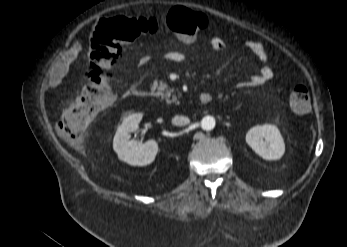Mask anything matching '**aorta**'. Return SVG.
<instances>
[{
  "label": "aorta",
  "mask_w": 347,
  "mask_h": 247,
  "mask_svg": "<svg viewBox=\"0 0 347 247\" xmlns=\"http://www.w3.org/2000/svg\"><path fill=\"white\" fill-rule=\"evenodd\" d=\"M215 124H216L215 118L212 116H205L201 120V127L203 130H206V131H210V130L214 129Z\"/></svg>",
  "instance_id": "aorta-1"
}]
</instances>
